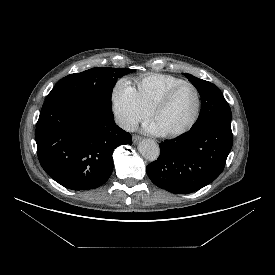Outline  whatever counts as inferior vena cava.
I'll return each instance as SVG.
<instances>
[{
  "label": "inferior vena cava",
  "instance_id": "602c4592",
  "mask_svg": "<svg viewBox=\"0 0 275 275\" xmlns=\"http://www.w3.org/2000/svg\"><path fill=\"white\" fill-rule=\"evenodd\" d=\"M116 124L126 131H134V122L128 118L118 116L115 119Z\"/></svg>",
  "mask_w": 275,
  "mask_h": 275
}]
</instances>
